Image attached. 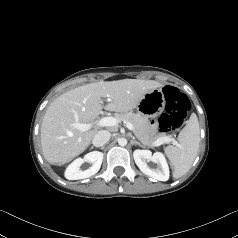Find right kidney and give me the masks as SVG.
Wrapping results in <instances>:
<instances>
[{"label": "right kidney", "instance_id": "ca27d5eb", "mask_svg": "<svg viewBox=\"0 0 238 238\" xmlns=\"http://www.w3.org/2000/svg\"><path fill=\"white\" fill-rule=\"evenodd\" d=\"M103 161V153L99 151H92L84 156V158H77L75 159L65 171V177L68 180H79L91 177L92 175L96 174L102 164ZM84 162L92 163V166L82 171L80 166Z\"/></svg>", "mask_w": 238, "mask_h": 238}]
</instances>
